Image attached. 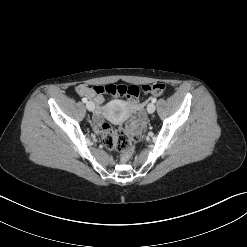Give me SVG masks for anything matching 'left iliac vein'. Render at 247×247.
Masks as SVG:
<instances>
[{
    "mask_svg": "<svg viewBox=\"0 0 247 247\" xmlns=\"http://www.w3.org/2000/svg\"><path fill=\"white\" fill-rule=\"evenodd\" d=\"M147 111H148V113H150V114L154 113V111H155V105H154L153 102H151V103H149V104L147 105Z\"/></svg>",
    "mask_w": 247,
    "mask_h": 247,
    "instance_id": "4c4485c4",
    "label": "left iliac vein"
}]
</instances>
